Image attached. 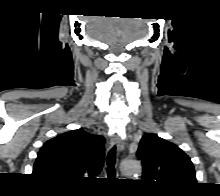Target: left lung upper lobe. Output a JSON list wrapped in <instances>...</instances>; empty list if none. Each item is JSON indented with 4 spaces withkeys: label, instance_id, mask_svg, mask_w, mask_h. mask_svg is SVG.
Returning <instances> with one entry per match:
<instances>
[{
    "label": "left lung upper lobe",
    "instance_id": "obj_1",
    "mask_svg": "<svg viewBox=\"0 0 220 196\" xmlns=\"http://www.w3.org/2000/svg\"><path fill=\"white\" fill-rule=\"evenodd\" d=\"M137 157L143 165V181L162 193H180L196 184L190 158L175 144L156 134L143 135Z\"/></svg>",
    "mask_w": 220,
    "mask_h": 196
}]
</instances>
